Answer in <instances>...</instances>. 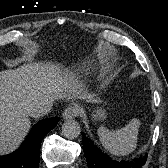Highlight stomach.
Listing matches in <instances>:
<instances>
[{
	"mask_svg": "<svg viewBox=\"0 0 168 168\" xmlns=\"http://www.w3.org/2000/svg\"><path fill=\"white\" fill-rule=\"evenodd\" d=\"M94 120H103L106 118V112L102 108L95 110L92 114Z\"/></svg>",
	"mask_w": 168,
	"mask_h": 168,
	"instance_id": "stomach-1",
	"label": "stomach"
}]
</instances>
